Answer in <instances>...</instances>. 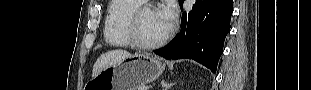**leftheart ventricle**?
I'll list each match as a JSON object with an SVG mask.
<instances>
[{"label":"left heart ventricle","instance_id":"b2bd125f","mask_svg":"<svg viewBox=\"0 0 311 90\" xmlns=\"http://www.w3.org/2000/svg\"><path fill=\"white\" fill-rule=\"evenodd\" d=\"M168 28L160 18L158 11L148 9L144 11L140 21L141 37L146 42H154L168 32Z\"/></svg>","mask_w":311,"mask_h":90}]
</instances>
